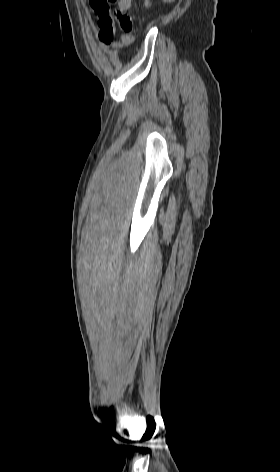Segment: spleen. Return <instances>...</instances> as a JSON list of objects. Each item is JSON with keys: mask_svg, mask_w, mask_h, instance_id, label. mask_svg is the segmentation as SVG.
Here are the masks:
<instances>
[{"mask_svg": "<svg viewBox=\"0 0 280 472\" xmlns=\"http://www.w3.org/2000/svg\"><path fill=\"white\" fill-rule=\"evenodd\" d=\"M164 1H174V0H164Z\"/></svg>", "mask_w": 280, "mask_h": 472, "instance_id": "1", "label": "spleen"}]
</instances>
